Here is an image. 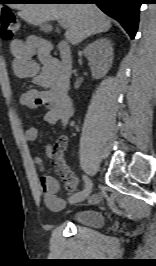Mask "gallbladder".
I'll return each mask as SVG.
<instances>
[{
	"label": "gallbladder",
	"instance_id": "1",
	"mask_svg": "<svg viewBox=\"0 0 156 266\" xmlns=\"http://www.w3.org/2000/svg\"><path fill=\"white\" fill-rule=\"evenodd\" d=\"M40 29L44 32H49L51 31V26L48 24V23H43L41 26H40Z\"/></svg>",
	"mask_w": 156,
	"mask_h": 266
}]
</instances>
